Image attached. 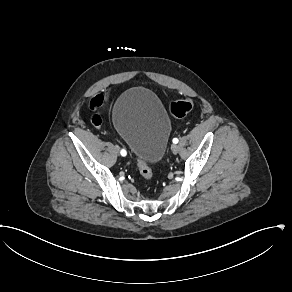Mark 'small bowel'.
I'll return each mask as SVG.
<instances>
[{"label": "small bowel", "mask_w": 292, "mask_h": 292, "mask_svg": "<svg viewBox=\"0 0 292 292\" xmlns=\"http://www.w3.org/2000/svg\"><path fill=\"white\" fill-rule=\"evenodd\" d=\"M106 93H107L108 95H111V94L113 93V90H112L111 88H108V89L106 90Z\"/></svg>", "instance_id": "small-bowel-1"}]
</instances>
